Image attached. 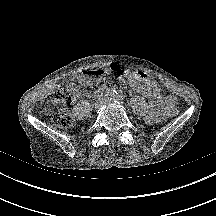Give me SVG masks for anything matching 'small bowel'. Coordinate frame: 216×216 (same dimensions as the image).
I'll return each instance as SVG.
<instances>
[{"label":"small bowel","instance_id":"c3829d8e","mask_svg":"<svg viewBox=\"0 0 216 216\" xmlns=\"http://www.w3.org/2000/svg\"><path fill=\"white\" fill-rule=\"evenodd\" d=\"M120 80L126 82L134 92L152 101V108L147 116V120L151 123L161 121L167 111L175 104V98L172 95H163L157 82L143 72H128ZM75 87L74 98H77L80 95V91L77 86Z\"/></svg>","mask_w":216,"mask_h":216}]
</instances>
